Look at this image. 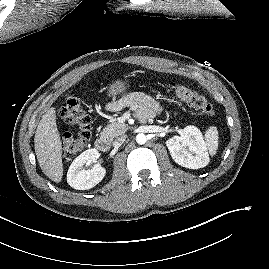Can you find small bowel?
Instances as JSON below:
<instances>
[{
  "label": "small bowel",
  "instance_id": "1",
  "mask_svg": "<svg viewBox=\"0 0 269 269\" xmlns=\"http://www.w3.org/2000/svg\"><path fill=\"white\" fill-rule=\"evenodd\" d=\"M129 107L141 120H147L161 112V105L153 97L143 92H131L108 106L110 110Z\"/></svg>",
  "mask_w": 269,
  "mask_h": 269
}]
</instances>
